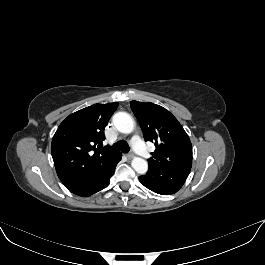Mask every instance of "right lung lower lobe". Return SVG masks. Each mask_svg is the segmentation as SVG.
Wrapping results in <instances>:
<instances>
[{"label": "right lung lower lobe", "mask_w": 265, "mask_h": 265, "mask_svg": "<svg viewBox=\"0 0 265 265\" xmlns=\"http://www.w3.org/2000/svg\"><path fill=\"white\" fill-rule=\"evenodd\" d=\"M119 153L114 158L106 161L100 168L86 178L67 187L72 193L86 197L105 188L110 183V178L114 174L117 163L121 160Z\"/></svg>", "instance_id": "obj_1"}]
</instances>
